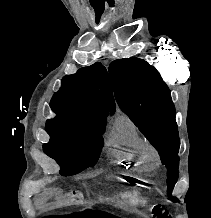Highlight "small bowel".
I'll return each mask as SVG.
<instances>
[{
	"instance_id": "1",
	"label": "small bowel",
	"mask_w": 211,
	"mask_h": 218,
	"mask_svg": "<svg viewBox=\"0 0 211 218\" xmlns=\"http://www.w3.org/2000/svg\"><path fill=\"white\" fill-rule=\"evenodd\" d=\"M60 189H50V190H45L42 193H40L37 198L36 202L37 204H43L45 203L50 197H55L59 196L61 194Z\"/></svg>"
}]
</instances>
